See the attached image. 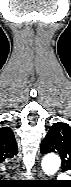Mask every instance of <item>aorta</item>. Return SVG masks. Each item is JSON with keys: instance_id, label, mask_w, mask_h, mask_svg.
<instances>
[{"instance_id": "obj_1", "label": "aorta", "mask_w": 71, "mask_h": 187, "mask_svg": "<svg viewBox=\"0 0 71 187\" xmlns=\"http://www.w3.org/2000/svg\"><path fill=\"white\" fill-rule=\"evenodd\" d=\"M41 165H42L43 171L46 174L53 175L58 171L61 165V160L57 154L51 153V154H47L42 159Z\"/></svg>"}]
</instances>
